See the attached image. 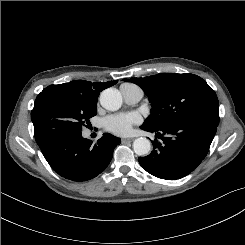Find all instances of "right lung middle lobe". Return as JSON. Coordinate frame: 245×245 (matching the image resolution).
I'll return each instance as SVG.
<instances>
[{
    "label": "right lung middle lobe",
    "instance_id": "dd1d6c3e",
    "mask_svg": "<svg viewBox=\"0 0 245 245\" xmlns=\"http://www.w3.org/2000/svg\"><path fill=\"white\" fill-rule=\"evenodd\" d=\"M97 114V100L88 99L61 85H50L37 96L31 119L38 145L56 134L81 132Z\"/></svg>",
    "mask_w": 245,
    "mask_h": 245
}]
</instances>
